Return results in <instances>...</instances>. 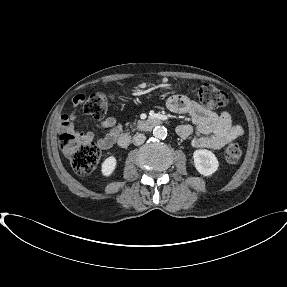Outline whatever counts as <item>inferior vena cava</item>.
<instances>
[{
  "label": "inferior vena cava",
  "instance_id": "602c4592",
  "mask_svg": "<svg viewBox=\"0 0 287 287\" xmlns=\"http://www.w3.org/2000/svg\"><path fill=\"white\" fill-rule=\"evenodd\" d=\"M146 140V136L144 134L141 133H137L133 136V144L136 146H139L141 144H143Z\"/></svg>",
  "mask_w": 287,
  "mask_h": 287
}]
</instances>
